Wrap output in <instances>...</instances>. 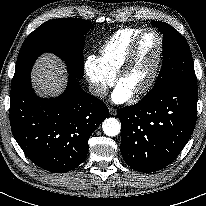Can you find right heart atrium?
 Masks as SVG:
<instances>
[{"label":"right heart atrium","mask_w":206,"mask_h":206,"mask_svg":"<svg viewBox=\"0 0 206 206\" xmlns=\"http://www.w3.org/2000/svg\"><path fill=\"white\" fill-rule=\"evenodd\" d=\"M84 71L90 84L92 94L103 98L108 88L114 83V76L107 73L94 56H89L84 62Z\"/></svg>","instance_id":"obj_1"}]
</instances>
